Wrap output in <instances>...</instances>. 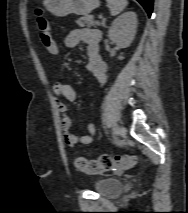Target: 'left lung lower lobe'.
<instances>
[{
	"mask_svg": "<svg viewBox=\"0 0 188 213\" xmlns=\"http://www.w3.org/2000/svg\"><path fill=\"white\" fill-rule=\"evenodd\" d=\"M150 16L153 8V0H137Z\"/></svg>",
	"mask_w": 188,
	"mask_h": 213,
	"instance_id": "left-lung-lower-lobe-1",
	"label": "left lung lower lobe"
}]
</instances>
